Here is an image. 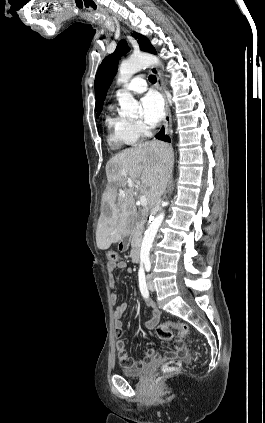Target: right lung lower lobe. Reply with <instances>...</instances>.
I'll use <instances>...</instances> for the list:
<instances>
[{"mask_svg": "<svg viewBox=\"0 0 265 423\" xmlns=\"http://www.w3.org/2000/svg\"><path fill=\"white\" fill-rule=\"evenodd\" d=\"M156 138L162 141L170 142V138L167 135H165L164 127H162L160 132L156 135Z\"/></svg>", "mask_w": 265, "mask_h": 423, "instance_id": "98d812e1", "label": "right lung lower lobe"}]
</instances>
